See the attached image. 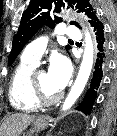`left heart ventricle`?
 Segmentation results:
<instances>
[{"instance_id":"b2bd125f","label":"left heart ventricle","mask_w":117,"mask_h":136,"mask_svg":"<svg viewBox=\"0 0 117 136\" xmlns=\"http://www.w3.org/2000/svg\"><path fill=\"white\" fill-rule=\"evenodd\" d=\"M37 82H38V86L40 87L42 93L46 97H54L60 92L51 84L46 72H41L38 74Z\"/></svg>"}]
</instances>
